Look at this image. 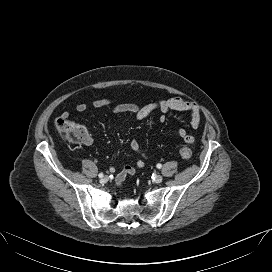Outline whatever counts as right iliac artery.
<instances>
[{"mask_svg": "<svg viewBox=\"0 0 272 272\" xmlns=\"http://www.w3.org/2000/svg\"><path fill=\"white\" fill-rule=\"evenodd\" d=\"M98 176H99L100 178H102V177H103V173H100Z\"/></svg>", "mask_w": 272, "mask_h": 272, "instance_id": "obj_1", "label": "right iliac artery"}]
</instances>
